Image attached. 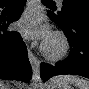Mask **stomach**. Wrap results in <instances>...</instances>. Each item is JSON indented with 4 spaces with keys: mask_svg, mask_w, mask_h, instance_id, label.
<instances>
[{
    "mask_svg": "<svg viewBox=\"0 0 89 89\" xmlns=\"http://www.w3.org/2000/svg\"><path fill=\"white\" fill-rule=\"evenodd\" d=\"M46 89H72L70 84H67L63 81H59L58 78H53L48 85H46Z\"/></svg>",
    "mask_w": 89,
    "mask_h": 89,
    "instance_id": "stomach-1",
    "label": "stomach"
}]
</instances>
